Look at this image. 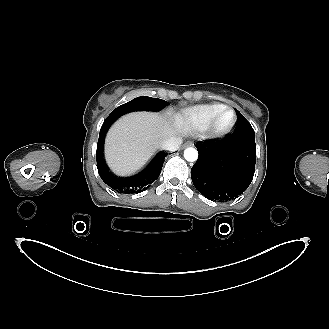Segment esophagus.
Instances as JSON below:
<instances>
[{
	"label": "esophagus",
	"mask_w": 329,
	"mask_h": 329,
	"mask_svg": "<svg viewBox=\"0 0 329 329\" xmlns=\"http://www.w3.org/2000/svg\"><path fill=\"white\" fill-rule=\"evenodd\" d=\"M193 145H194V143L189 141V142L184 143L182 145V148H186V147L193 146Z\"/></svg>",
	"instance_id": "34e87169"
}]
</instances>
